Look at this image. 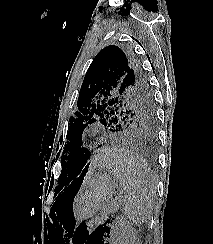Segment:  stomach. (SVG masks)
Instances as JSON below:
<instances>
[{"instance_id":"obj_1","label":"stomach","mask_w":213,"mask_h":244,"mask_svg":"<svg viewBox=\"0 0 213 244\" xmlns=\"http://www.w3.org/2000/svg\"><path fill=\"white\" fill-rule=\"evenodd\" d=\"M115 186L116 180L111 172L90 178L78 197L77 218L84 220L99 213L111 199Z\"/></svg>"}]
</instances>
